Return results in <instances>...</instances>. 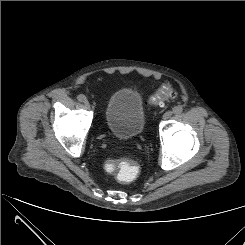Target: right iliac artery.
I'll return each instance as SVG.
<instances>
[{
	"label": "right iliac artery",
	"mask_w": 245,
	"mask_h": 245,
	"mask_svg": "<svg viewBox=\"0 0 245 245\" xmlns=\"http://www.w3.org/2000/svg\"><path fill=\"white\" fill-rule=\"evenodd\" d=\"M77 99L80 101V102H84L86 100V97L82 94L78 95Z\"/></svg>",
	"instance_id": "1"
}]
</instances>
